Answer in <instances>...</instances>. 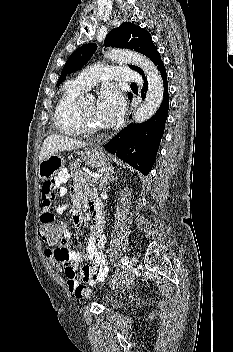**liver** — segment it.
<instances>
[{"label":"liver","instance_id":"6515ba94","mask_svg":"<svg viewBox=\"0 0 233 352\" xmlns=\"http://www.w3.org/2000/svg\"><path fill=\"white\" fill-rule=\"evenodd\" d=\"M86 145L87 144L85 142L69 137L56 134L49 135L43 142L39 155V161L41 162L51 155H56L60 151L79 149L85 147Z\"/></svg>","mask_w":233,"mask_h":352}]
</instances>
